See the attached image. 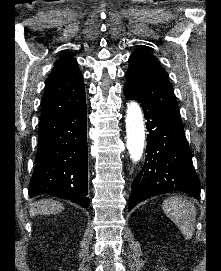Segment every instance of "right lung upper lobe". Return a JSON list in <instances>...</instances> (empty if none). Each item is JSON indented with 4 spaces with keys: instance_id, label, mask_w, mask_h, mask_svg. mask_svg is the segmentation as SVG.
<instances>
[{
    "instance_id": "1",
    "label": "right lung upper lobe",
    "mask_w": 221,
    "mask_h": 271,
    "mask_svg": "<svg viewBox=\"0 0 221 271\" xmlns=\"http://www.w3.org/2000/svg\"><path fill=\"white\" fill-rule=\"evenodd\" d=\"M85 102L84 81L78 63L66 54L54 64L46 81L40 119L75 110Z\"/></svg>"
}]
</instances>
